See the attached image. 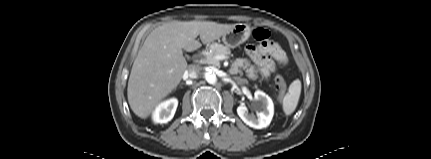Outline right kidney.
I'll use <instances>...</instances> for the list:
<instances>
[{"label":"right kidney","mask_w":431,"mask_h":159,"mask_svg":"<svg viewBox=\"0 0 431 159\" xmlns=\"http://www.w3.org/2000/svg\"><path fill=\"white\" fill-rule=\"evenodd\" d=\"M177 106L178 100L175 98L162 102L156 107L153 113V121L155 123H167L173 118Z\"/></svg>","instance_id":"1"}]
</instances>
